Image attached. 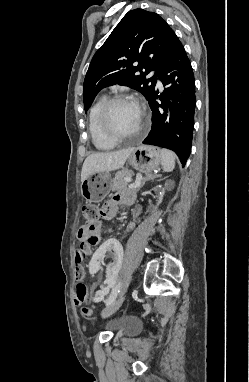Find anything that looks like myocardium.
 <instances>
[{"instance_id": "obj_1", "label": "myocardium", "mask_w": 249, "mask_h": 382, "mask_svg": "<svg viewBox=\"0 0 249 382\" xmlns=\"http://www.w3.org/2000/svg\"><path fill=\"white\" fill-rule=\"evenodd\" d=\"M121 102H133V101H132V99H130L129 97H126V96H122V95L114 96V97L106 100V102L104 103V105L101 109V112H100L99 121H100L101 130H102L103 134L109 140H111L113 142H121V141L129 140V139H132L134 137L139 136L142 133V131L146 128V124H147L146 113L144 110L139 108L140 113H141V120H140L139 126L137 128V131L135 133L129 134V135H120V134L114 132V130L112 129L110 122H109V115H110V111H111L112 107L118 103H121Z\"/></svg>"}]
</instances>
